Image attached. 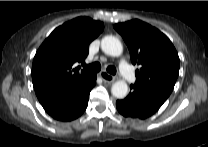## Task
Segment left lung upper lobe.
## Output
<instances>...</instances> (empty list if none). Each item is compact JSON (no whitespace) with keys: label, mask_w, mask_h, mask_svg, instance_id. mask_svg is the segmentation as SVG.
<instances>
[{"label":"left lung upper lobe","mask_w":208,"mask_h":147,"mask_svg":"<svg viewBox=\"0 0 208 147\" xmlns=\"http://www.w3.org/2000/svg\"><path fill=\"white\" fill-rule=\"evenodd\" d=\"M123 37L136 70V86L168 97L176 83L180 60L172 42L158 29L140 20L114 25Z\"/></svg>","instance_id":"5c2ea615"}]
</instances>
